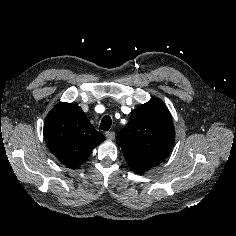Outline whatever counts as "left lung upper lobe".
Returning a JSON list of instances; mask_svg holds the SVG:
<instances>
[{
  "mask_svg": "<svg viewBox=\"0 0 236 236\" xmlns=\"http://www.w3.org/2000/svg\"><path fill=\"white\" fill-rule=\"evenodd\" d=\"M175 141V130L164 103L151 99L135 109L129 123L117 135L127 162L154 167L164 161Z\"/></svg>",
  "mask_w": 236,
  "mask_h": 236,
  "instance_id": "obj_1",
  "label": "left lung upper lobe"
}]
</instances>
